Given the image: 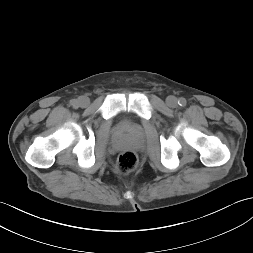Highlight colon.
<instances>
[{"instance_id": "obj_1", "label": "colon", "mask_w": 253, "mask_h": 253, "mask_svg": "<svg viewBox=\"0 0 253 253\" xmlns=\"http://www.w3.org/2000/svg\"><path fill=\"white\" fill-rule=\"evenodd\" d=\"M138 163V157L135 152L127 150L119 154L116 162L117 170L121 174L132 172Z\"/></svg>"}]
</instances>
